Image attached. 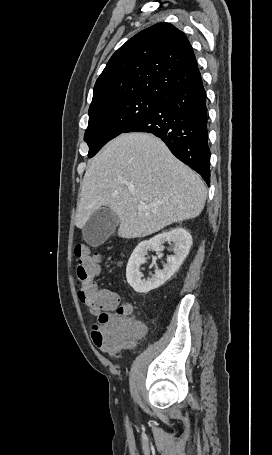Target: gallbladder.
<instances>
[{"instance_id": "1", "label": "gallbladder", "mask_w": 272, "mask_h": 455, "mask_svg": "<svg viewBox=\"0 0 272 455\" xmlns=\"http://www.w3.org/2000/svg\"><path fill=\"white\" fill-rule=\"evenodd\" d=\"M119 225L118 216L109 208L101 207L87 220L82 229L83 238L91 246L103 244Z\"/></svg>"}]
</instances>
